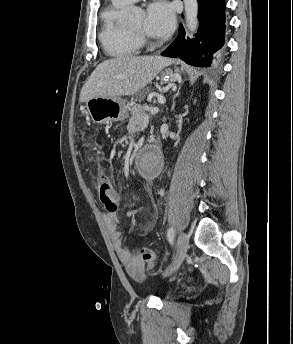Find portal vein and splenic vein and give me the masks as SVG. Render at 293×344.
Segmentation results:
<instances>
[{"mask_svg":"<svg viewBox=\"0 0 293 344\" xmlns=\"http://www.w3.org/2000/svg\"><path fill=\"white\" fill-rule=\"evenodd\" d=\"M148 122H149V116L145 115V117H144V124L146 125V124H148Z\"/></svg>","mask_w":293,"mask_h":344,"instance_id":"1","label":"portal vein and splenic vein"}]
</instances>
